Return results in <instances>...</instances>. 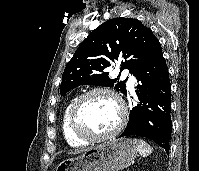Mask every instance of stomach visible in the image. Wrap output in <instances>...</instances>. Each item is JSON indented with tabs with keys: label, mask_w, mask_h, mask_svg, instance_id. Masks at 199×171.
<instances>
[{
	"label": "stomach",
	"mask_w": 199,
	"mask_h": 171,
	"mask_svg": "<svg viewBox=\"0 0 199 171\" xmlns=\"http://www.w3.org/2000/svg\"><path fill=\"white\" fill-rule=\"evenodd\" d=\"M137 148L129 138H114L83 155L60 162L56 171H120L130 166Z\"/></svg>",
	"instance_id": "obj_1"
}]
</instances>
